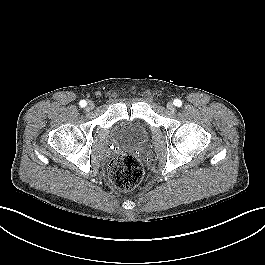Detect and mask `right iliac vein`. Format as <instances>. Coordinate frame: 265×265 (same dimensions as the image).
Listing matches in <instances>:
<instances>
[{
	"label": "right iliac vein",
	"instance_id": "obj_1",
	"mask_svg": "<svg viewBox=\"0 0 265 265\" xmlns=\"http://www.w3.org/2000/svg\"><path fill=\"white\" fill-rule=\"evenodd\" d=\"M94 108V103L93 102H88L87 109L92 110Z\"/></svg>",
	"mask_w": 265,
	"mask_h": 265
}]
</instances>
